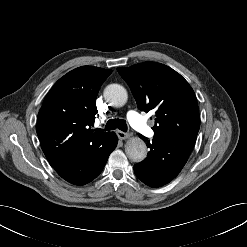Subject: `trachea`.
I'll return each mask as SVG.
<instances>
[{"label":"trachea","mask_w":247,"mask_h":247,"mask_svg":"<svg viewBox=\"0 0 247 247\" xmlns=\"http://www.w3.org/2000/svg\"><path fill=\"white\" fill-rule=\"evenodd\" d=\"M118 128L119 130L126 132L127 131V124L126 121L123 119H110L105 126V130H115Z\"/></svg>","instance_id":"trachea-1"}]
</instances>
